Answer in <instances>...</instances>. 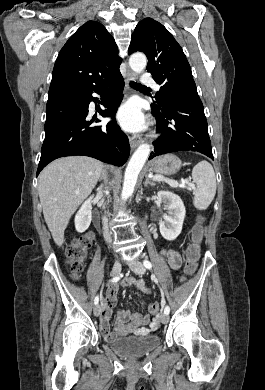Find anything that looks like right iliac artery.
<instances>
[{"mask_svg":"<svg viewBox=\"0 0 265 390\" xmlns=\"http://www.w3.org/2000/svg\"><path fill=\"white\" fill-rule=\"evenodd\" d=\"M120 280V276H117V277H113L110 281L111 282H117ZM99 303V297L96 296L95 299H94V304L97 305Z\"/></svg>","mask_w":265,"mask_h":390,"instance_id":"right-iliac-artery-1","label":"right iliac artery"}]
</instances>
